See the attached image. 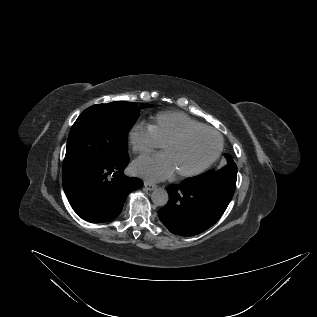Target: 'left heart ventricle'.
Here are the masks:
<instances>
[{
    "label": "left heart ventricle",
    "instance_id": "obj_1",
    "mask_svg": "<svg viewBox=\"0 0 317 317\" xmlns=\"http://www.w3.org/2000/svg\"><path fill=\"white\" fill-rule=\"evenodd\" d=\"M218 137L210 132H200L190 135L179 144L167 147L166 154L174 172H184L195 169L206 162L218 147Z\"/></svg>",
    "mask_w": 317,
    "mask_h": 317
}]
</instances>
